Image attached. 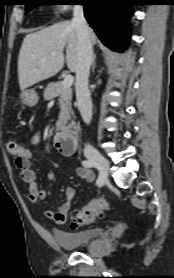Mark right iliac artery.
Here are the masks:
<instances>
[{
  "instance_id": "82829eb1",
  "label": "right iliac artery",
  "mask_w": 174,
  "mask_h": 278,
  "mask_svg": "<svg viewBox=\"0 0 174 278\" xmlns=\"http://www.w3.org/2000/svg\"><path fill=\"white\" fill-rule=\"evenodd\" d=\"M82 165L86 168H97L99 170V176H98L96 184L98 186H102L104 181H105V174L102 171V169L100 168V166L97 163H95L94 161H91V160H84L82 162Z\"/></svg>"
}]
</instances>
